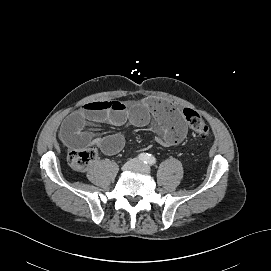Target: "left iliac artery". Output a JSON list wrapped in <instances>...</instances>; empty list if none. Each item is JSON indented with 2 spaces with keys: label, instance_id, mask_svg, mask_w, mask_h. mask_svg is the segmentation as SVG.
Instances as JSON below:
<instances>
[{
  "label": "left iliac artery",
  "instance_id": "44dca946",
  "mask_svg": "<svg viewBox=\"0 0 271 271\" xmlns=\"http://www.w3.org/2000/svg\"><path fill=\"white\" fill-rule=\"evenodd\" d=\"M148 165L153 166L156 164V158L152 155H149L148 160L146 162Z\"/></svg>",
  "mask_w": 271,
  "mask_h": 271
}]
</instances>
